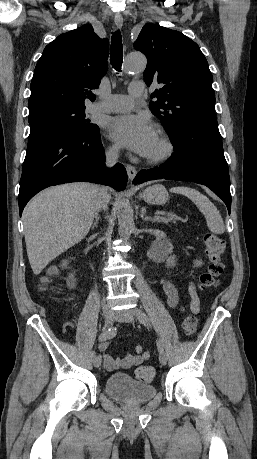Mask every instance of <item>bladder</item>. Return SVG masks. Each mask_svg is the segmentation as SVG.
Wrapping results in <instances>:
<instances>
[{
  "mask_svg": "<svg viewBox=\"0 0 257 459\" xmlns=\"http://www.w3.org/2000/svg\"><path fill=\"white\" fill-rule=\"evenodd\" d=\"M105 389L110 398L127 404L146 403L157 392L153 385L137 381L128 373L110 375L106 379Z\"/></svg>",
  "mask_w": 257,
  "mask_h": 459,
  "instance_id": "bladder-1",
  "label": "bladder"
}]
</instances>
